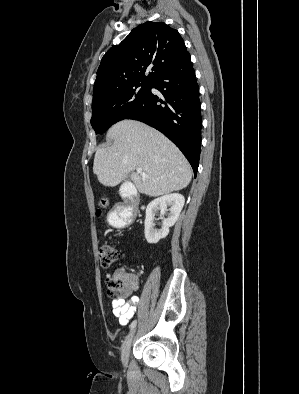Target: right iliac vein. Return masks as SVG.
<instances>
[{
	"label": "right iliac vein",
	"instance_id": "1",
	"mask_svg": "<svg viewBox=\"0 0 299 394\" xmlns=\"http://www.w3.org/2000/svg\"><path fill=\"white\" fill-rule=\"evenodd\" d=\"M135 334V329H133L128 336L126 337L123 346H122V352H121V360L123 365L125 366L128 362V357H129V353H130V348H131V344H132V340Z\"/></svg>",
	"mask_w": 299,
	"mask_h": 394
}]
</instances>
